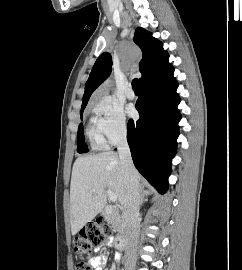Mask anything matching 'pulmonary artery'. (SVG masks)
<instances>
[{
    "mask_svg": "<svg viewBox=\"0 0 242 270\" xmlns=\"http://www.w3.org/2000/svg\"><path fill=\"white\" fill-rule=\"evenodd\" d=\"M126 96H127V98H129V99H134V98H135V92H134V90L132 89V87H129V88L126 90Z\"/></svg>",
    "mask_w": 242,
    "mask_h": 270,
    "instance_id": "obj_1",
    "label": "pulmonary artery"
}]
</instances>
